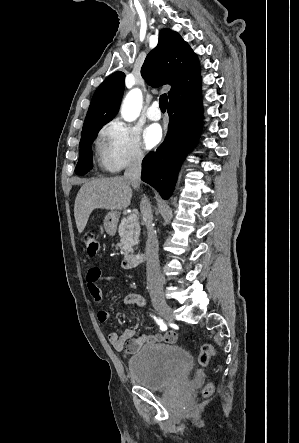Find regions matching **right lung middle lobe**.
Returning a JSON list of instances; mask_svg holds the SVG:
<instances>
[{
  "label": "right lung middle lobe",
  "instance_id": "right-lung-middle-lobe-1",
  "mask_svg": "<svg viewBox=\"0 0 299 443\" xmlns=\"http://www.w3.org/2000/svg\"><path fill=\"white\" fill-rule=\"evenodd\" d=\"M101 127L90 130L82 135L80 141V156L75 172L78 175L86 174L93 167L91 143L96 138Z\"/></svg>",
  "mask_w": 299,
  "mask_h": 443
}]
</instances>
